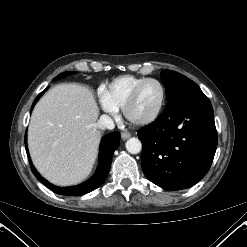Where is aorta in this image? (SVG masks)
<instances>
[{"label":"aorta","mask_w":247,"mask_h":247,"mask_svg":"<svg viewBox=\"0 0 247 247\" xmlns=\"http://www.w3.org/2000/svg\"><path fill=\"white\" fill-rule=\"evenodd\" d=\"M125 146H126V150L131 154H137L142 149L141 141L135 137H132L129 140H127Z\"/></svg>","instance_id":"762f6f07"}]
</instances>
